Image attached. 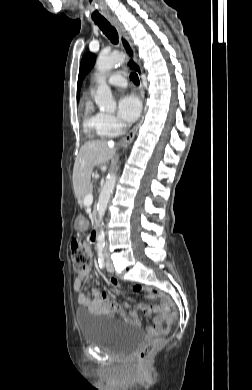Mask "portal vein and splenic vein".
Here are the masks:
<instances>
[{
  "label": "portal vein and splenic vein",
  "mask_w": 252,
  "mask_h": 390,
  "mask_svg": "<svg viewBox=\"0 0 252 390\" xmlns=\"http://www.w3.org/2000/svg\"><path fill=\"white\" fill-rule=\"evenodd\" d=\"M92 201H93V196L91 194L87 195L84 199V203L87 205L91 204Z\"/></svg>",
  "instance_id": "obj_1"
}]
</instances>
